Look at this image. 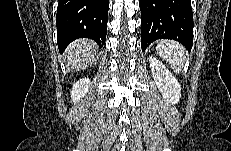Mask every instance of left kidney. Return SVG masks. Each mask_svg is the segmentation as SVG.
Returning <instances> with one entry per match:
<instances>
[{"label":"left kidney","instance_id":"obj_1","mask_svg":"<svg viewBox=\"0 0 231 151\" xmlns=\"http://www.w3.org/2000/svg\"><path fill=\"white\" fill-rule=\"evenodd\" d=\"M154 81L162 93L163 99L170 104H177L181 97V86L167 67L154 57H149Z\"/></svg>","mask_w":231,"mask_h":151}]
</instances>
